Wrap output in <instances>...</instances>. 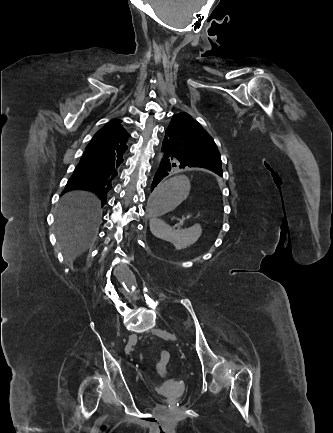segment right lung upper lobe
Here are the masks:
<instances>
[{
    "label": "right lung upper lobe",
    "mask_w": 333,
    "mask_h": 433,
    "mask_svg": "<svg viewBox=\"0 0 333 433\" xmlns=\"http://www.w3.org/2000/svg\"><path fill=\"white\" fill-rule=\"evenodd\" d=\"M130 134L123 128L121 121L113 119L102 127L94 136L100 147L124 146Z\"/></svg>",
    "instance_id": "cb5924a9"
}]
</instances>
